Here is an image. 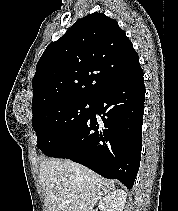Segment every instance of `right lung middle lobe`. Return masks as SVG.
<instances>
[{
	"instance_id": "right-lung-middle-lobe-1",
	"label": "right lung middle lobe",
	"mask_w": 178,
	"mask_h": 211,
	"mask_svg": "<svg viewBox=\"0 0 178 211\" xmlns=\"http://www.w3.org/2000/svg\"><path fill=\"white\" fill-rule=\"evenodd\" d=\"M92 109V99H71L50 104L33 115L37 147L48 154L77 131Z\"/></svg>"
}]
</instances>
